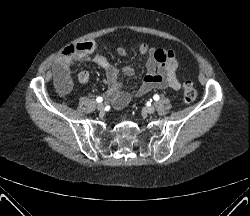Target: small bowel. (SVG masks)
Returning <instances> with one entry per match:
<instances>
[{"instance_id":"obj_1","label":"small bowel","mask_w":250,"mask_h":216,"mask_svg":"<svg viewBox=\"0 0 250 216\" xmlns=\"http://www.w3.org/2000/svg\"><path fill=\"white\" fill-rule=\"evenodd\" d=\"M96 44L94 41H85L74 46V52L69 58L62 57L57 63L56 86L60 93L68 94L72 89V83L68 77L70 64L74 60H81L92 56L94 63L101 67L106 76L108 89L107 99L116 107L123 108L131 101V94L121 90L119 71L102 55L95 54ZM139 52L148 56L146 64L147 74L135 92L136 96H143L153 89L170 87L174 90L181 89L180 74L178 73V61L171 50L155 49L147 43L139 44ZM120 55H125L123 47L118 48ZM122 73L132 77L135 72L133 68L126 67ZM90 75L87 71L78 74V81L85 84L89 81Z\"/></svg>"}]
</instances>
